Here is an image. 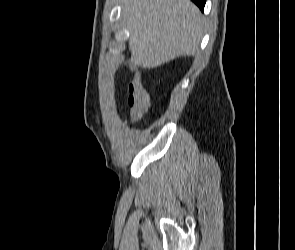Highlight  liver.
I'll use <instances>...</instances> for the list:
<instances>
[{
	"instance_id": "obj_1",
	"label": "liver",
	"mask_w": 295,
	"mask_h": 250,
	"mask_svg": "<svg viewBox=\"0 0 295 250\" xmlns=\"http://www.w3.org/2000/svg\"><path fill=\"white\" fill-rule=\"evenodd\" d=\"M129 30V49L137 65L156 68L180 56L194 55L203 20L190 0H121Z\"/></svg>"
}]
</instances>
